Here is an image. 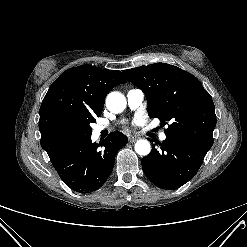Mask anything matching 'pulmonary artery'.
I'll list each match as a JSON object with an SVG mask.
<instances>
[{"mask_svg": "<svg viewBox=\"0 0 247 247\" xmlns=\"http://www.w3.org/2000/svg\"><path fill=\"white\" fill-rule=\"evenodd\" d=\"M126 97H127V103H128L129 108L132 110H135L143 104L145 95L141 89L133 88L127 92ZM104 128H105V126L98 125V126H96L95 130H96V132H100ZM159 139L161 141H164L166 139V134L161 133L159 135Z\"/></svg>", "mask_w": 247, "mask_h": 247, "instance_id": "1", "label": "pulmonary artery"}]
</instances>
